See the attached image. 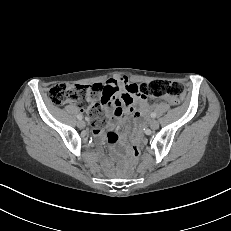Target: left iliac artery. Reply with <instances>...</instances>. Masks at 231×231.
Listing matches in <instances>:
<instances>
[{
    "label": "left iliac artery",
    "instance_id": "1",
    "mask_svg": "<svg viewBox=\"0 0 231 231\" xmlns=\"http://www.w3.org/2000/svg\"><path fill=\"white\" fill-rule=\"evenodd\" d=\"M151 117H152V118H155V117H156V113H155V112H152V113H151Z\"/></svg>",
    "mask_w": 231,
    "mask_h": 231
}]
</instances>
